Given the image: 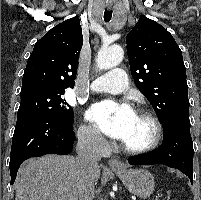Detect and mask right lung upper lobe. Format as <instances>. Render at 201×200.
I'll return each mask as SVG.
<instances>
[{
  "label": "right lung upper lobe",
  "mask_w": 201,
  "mask_h": 200,
  "mask_svg": "<svg viewBox=\"0 0 201 200\" xmlns=\"http://www.w3.org/2000/svg\"><path fill=\"white\" fill-rule=\"evenodd\" d=\"M83 45L78 17L58 24L35 43L23 75L21 93L73 88Z\"/></svg>",
  "instance_id": "right-lung-upper-lobe-1"
}]
</instances>
